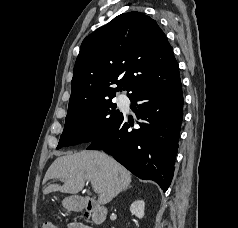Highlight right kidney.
I'll return each instance as SVG.
<instances>
[{
	"instance_id": "1",
	"label": "right kidney",
	"mask_w": 238,
	"mask_h": 228,
	"mask_svg": "<svg viewBox=\"0 0 238 228\" xmlns=\"http://www.w3.org/2000/svg\"><path fill=\"white\" fill-rule=\"evenodd\" d=\"M145 203L143 200L134 201L130 206V212L139 219L144 217Z\"/></svg>"
}]
</instances>
